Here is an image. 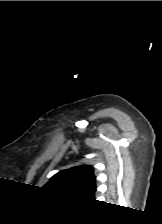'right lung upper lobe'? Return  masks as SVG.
Wrapping results in <instances>:
<instances>
[{"label": "right lung upper lobe", "mask_w": 162, "mask_h": 224, "mask_svg": "<svg viewBox=\"0 0 162 224\" xmlns=\"http://www.w3.org/2000/svg\"><path fill=\"white\" fill-rule=\"evenodd\" d=\"M44 187L83 199L95 200L96 184L91 166H79L60 171Z\"/></svg>", "instance_id": "obj_1"}]
</instances>
